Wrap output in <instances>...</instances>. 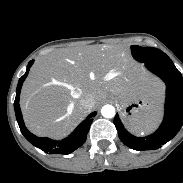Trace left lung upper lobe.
Listing matches in <instances>:
<instances>
[{
	"mask_svg": "<svg viewBox=\"0 0 183 183\" xmlns=\"http://www.w3.org/2000/svg\"><path fill=\"white\" fill-rule=\"evenodd\" d=\"M133 57L139 62H151L164 58H169L164 52L157 48L131 46Z\"/></svg>",
	"mask_w": 183,
	"mask_h": 183,
	"instance_id": "obj_1",
	"label": "left lung upper lobe"
}]
</instances>
